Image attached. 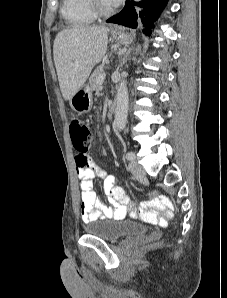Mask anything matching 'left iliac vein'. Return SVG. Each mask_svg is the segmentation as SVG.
Here are the masks:
<instances>
[{
  "label": "left iliac vein",
  "mask_w": 227,
  "mask_h": 298,
  "mask_svg": "<svg viewBox=\"0 0 227 298\" xmlns=\"http://www.w3.org/2000/svg\"><path fill=\"white\" fill-rule=\"evenodd\" d=\"M129 167L132 174L136 177H141L145 174L144 168L139 165L136 160H132Z\"/></svg>",
  "instance_id": "obj_1"
}]
</instances>
